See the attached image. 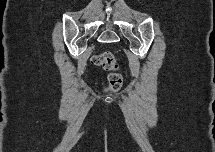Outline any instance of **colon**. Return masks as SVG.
Segmentation results:
<instances>
[{
    "label": "colon",
    "mask_w": 215,
    "mask_h": 152,
    "mask_svg": "<svg viewBox=\"0 0 215 152\" xmlns=\"http://www.w3.org/2000/svg\"><path fill=\"white\" fill-rule=\"evenodd\" d=\"M92 62L109 72L105 90L112 93L119 91L123 85V76L118 72V64L114 55L109 51H104L94 55Z\"/></svg>",
    "instance_id": "colon-1"
}]
</instances>
